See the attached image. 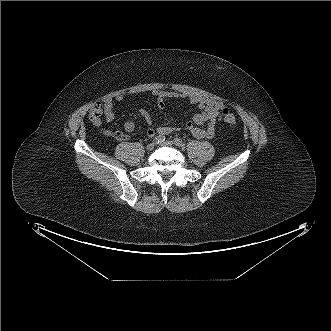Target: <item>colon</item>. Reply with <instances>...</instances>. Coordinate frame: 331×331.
Returning a JSON list of instances; mask_svg holds the SVG:
<instances>
[{"label": "colon", "mask_w": 331, "mask_h": 331, "mask_svg": "<svg viewBox=\"0 0 331 331\" xmlns=\"http://www.w3.org/2000/svg\"><path fill=\"white\" fill-rule=\"evenodd\" d=\"M222 116H223L224 123L228 127L233 128L237 125V118L228 108L222 109Z\"/></svg>", "instance_id": "5ec220e1"}]
</instances>
